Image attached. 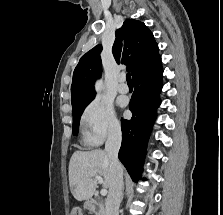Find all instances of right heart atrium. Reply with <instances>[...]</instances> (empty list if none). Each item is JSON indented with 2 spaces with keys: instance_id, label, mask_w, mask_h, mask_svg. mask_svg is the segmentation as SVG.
<instances>
[{
  "instance_id": "1",
  "label": "right heart atrium",
  "mask_w": 223,
  "mask_h": 215,
  "mask_svg": "<svg viewBox=\"0 0 223 215\" xmlns=\"http://www.w3.org/2000/svg\"><path fill=\"white\" fill-rule=\"evenodd\" d=\"M81 126L86 140L94 143H100L120 130L113 107L100 98H94L86 105L81 117Z\"/></svg>"
}]
</instances>
